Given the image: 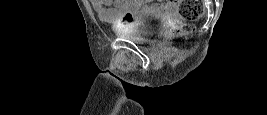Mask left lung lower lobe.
<instances>
[{
    "label": "left lung lower lobe",
    "instance_id": "left-lung-lower-lobe-1",
    "mask_svg": "<svg viewBox=\"0 0 267 115\" xmlns=\"http://www.w3.org/2000/svg\"><path fill=\"white\" fill-rule=\"evenodd\" d=\"M148 91H153V92H156V91H159V88H146Z\"/></svg>",
    "mask_w": 267,
    "mask_h": 115
}]
</instances>
